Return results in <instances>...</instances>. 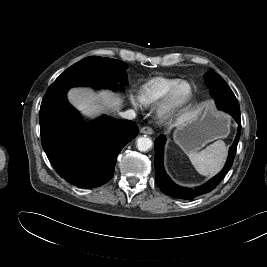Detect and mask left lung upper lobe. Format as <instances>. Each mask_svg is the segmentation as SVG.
I'll return each mask as SVG.
<instances>
[{"label":"left lung upper lobe","instance_id":"5c2ea615","mask_svg":"<svg viewBox=\"0 0 267 267\" xmlns=\"http://www.w3.org/2000/svg\"><path fill=\"white\" fill-rule=\"evenodd\" d=\"M205 82L217 104H224L230 98H235L234 93L219 74L209 72L205 76Z\"/></svg>","mask_w":267,"mask_h":267}]
</instances>
